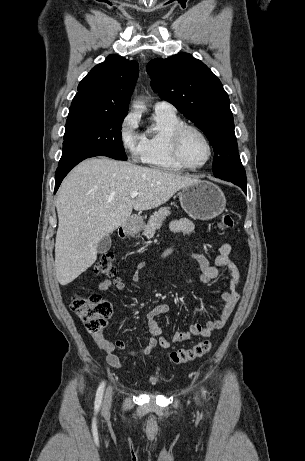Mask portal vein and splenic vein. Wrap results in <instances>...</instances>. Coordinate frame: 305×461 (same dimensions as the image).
Instances as JSON below:
<instances>
[{
    "label": "portal vein and splenic vein",
    "mask_w": 305,
    "mask_h": 461,
    "mask_svg": "<svg viewBox=\"0 0 305 461\" xmlns=\"http://www.w3.org/2000/svg\"><path fill=\"white\" fill-rule=\"evenodd\" d=\"M137 196H138V192H136V191L131 192V194H130V197H131L132 199L136 198Z\"/></svg>",
    "instance_id": "1"
}]
</instances>
